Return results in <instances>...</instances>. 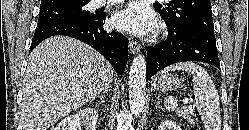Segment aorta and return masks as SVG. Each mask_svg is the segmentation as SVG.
Listing matches in <instances>:
<instances>
[{
    "instance_id": "aorta-1",
    "label": "aorta",
    "mask_w": 249,
    "mask_h": 130,
    "mask_svg": "<svg viewBox=\"0 0 249 130\" xmlns=\"http://www.w3.org/2000/svg\"><path fill=\"white\" fill-rule=\"evenodd\" d=\"M128 96L131 113L140 116L145 107L146 59L138 54L132 61L129 71Z\"/></svg>"
}]
</instances>
